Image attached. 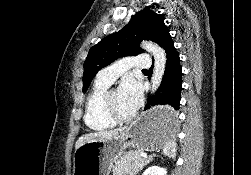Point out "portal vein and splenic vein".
<instances>
[{"label":"portal vein and splenic vein","instance_id":"portal-vein-and-splenic-vein-1","mask_svg":"<svg viewBox=\"0 0 251 175\" xmlns=\"http://www.w3.org/2000/svg\"><path fill=\"white\" fill-rule=\"evenodd\" d=\"M140 155H142V157H147V153H140Z\"/></svg>","mask_w":251,"mask_h":175}]
</instances>
